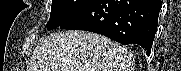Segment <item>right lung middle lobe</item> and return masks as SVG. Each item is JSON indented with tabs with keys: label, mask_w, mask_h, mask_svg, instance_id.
I'll return each instance as SVG.
<instances>
[{
	"label": "right lung middle lobe",
	"mask_w": 181,
	"mask_h": 71,
	"mask_svg": "<svg viewBox=\"0 0 181 71\" xmlns=\"http://www.w3.org/2000/svg\"><path fill=\"white\" fill-rule=\"evenodd\" d=\"M94 0H52L51 16L46 24L48 30L59 27Z\"/></svg>",
	"instance_id": "right-lung-middle-lobe-1"
}]
</instances>
